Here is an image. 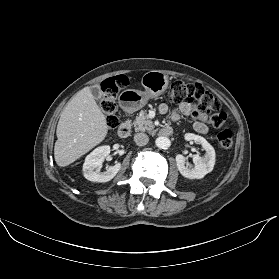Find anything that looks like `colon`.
<instances>
[{
  "label": "colon",
  "instance_id": "colon-1",
  "mask_svg": "<svg viewBox=\"0 0 279 279\" xmlns=\"http://www.w3.org/2000/svg\"><path fill=\"white\" fill-rule=\"evenodd\" d=\"M127 84L126 77L117 76L104 81L101 85L99 102L109 129H115L119 125L117 96ZM168 99L173 104L188 102L192 106L194 117L209 121L215 128H221L226 121L227 116L221 110L220 101L199 84L174 81L170 85ZM216 138L223 149L229 150L234 143V132L230 129H221Z\"/></svg>",
  "mask_w": 279,
  "mask_h": 279
}]
</instances>
